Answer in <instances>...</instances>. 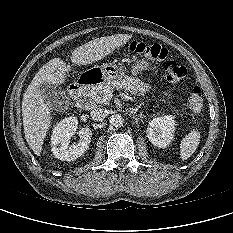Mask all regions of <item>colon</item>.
Returning a JSON list of instances; mask_svg holds the SVG:
<instances>
[{
	"mask_svg": "<svg viewBox=\"0 0 233 233\" xmlns=\"http://www.w3.org/2000/svg\"><path fill=\"white\" fill-rule=\"evenodd\" d=\"M128 47L131 51L143 54L155 60L163 61L164 73L167 81L177 83L188 77L187 68L168 58V51L166 48L158 44L149 45L138 41L132 42ZM188 106L195 113H199L203 109V93L199 86L193 87L188 99Z\"/></svg>",
	"mask_w": 233,
	"mask_h": 233,
	"instance_id": "colon-1",
	"label": "colon"
}]
</instances>
